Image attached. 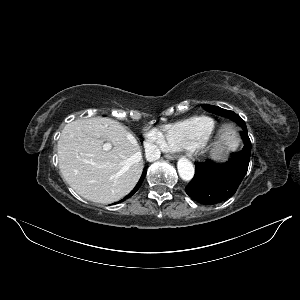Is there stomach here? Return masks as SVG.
I'll list each match as a JSON object with an SVG mask.
<instances>
[{
    "instance_id": "1",
    "label": "stomach",
    "mask_w": 300,
    "mask_h": 300,
    "mask_svg": "<svg viewBox=\"0 0 300 300\" xmlns=\"http://www.w3.org/2000/svg\"><path fill=\"white\" fill-rule=\"evenodd\" d=\"M234 141V140H233ZM235 146V141L233 143V145L229 146V147H234ZM215 155L219 158V159H223L224 158V153L222 151V147H220L217 152L215 153Z\"/></svg>"
}]
</instances>
